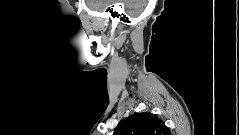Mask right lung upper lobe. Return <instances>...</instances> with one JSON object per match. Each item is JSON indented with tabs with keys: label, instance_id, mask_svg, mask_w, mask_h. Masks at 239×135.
I'll return each instance as SVG.
<instances>
[{
	"label": "right lung upper lobe",
	"instance_id": "cb5924a9",
	"mask_svg": "<svg viewBox=\"0 0 239 135\" xmlns=\"http://www.w3.org/2000/svg\"><path fill=\"white\" fill-rule=\"evenodd\" d=\"M113 135H171L162 120L150 112L135 113L122 119Z\"/></svg>",
	"mask_w": 239,
	"mask_h": 135
}]
</instances>
